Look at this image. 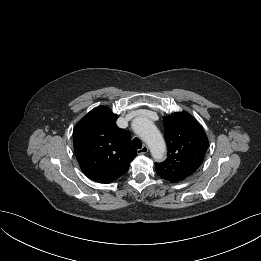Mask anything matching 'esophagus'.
Instances as JSON below:
<instances>
[{"instance_id": "34e87169", "label": "esophagus", "mask_w": 261, "mask_h": 261, "mask_svg": "<svg viewBox=\"0 0 261 261\" xmlns=\"http://www.w3.org/2000/svg\"><path fill=\"white\" fill-rule=\"evenodd\" d=\"M149 151V148L147 145H144L142 148L137 149L138 154H146Z\"/></svg>"}]
</instances>
